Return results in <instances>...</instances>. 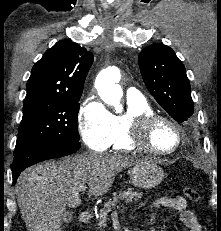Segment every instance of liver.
Segmentation results:
<instances>
[{
  "instance_id": "6515ba94",
  "label": "liver",
  "mask_w": 221,
  "mask_h": 231,
  "mask_svg": "<svg viewBox=\"0 0 221 231\" xmlns=\"http://www.w3.org/2000/svg\"><path fill=\"white\" fill-rule=\"evenodd\" d=\"M140 160L120 154L84 153L24 170L16 183L17 203L29 231H61L66 206L81 204L80 188L102 196L115 176Z\"/></svg>"
}]
</instances>
